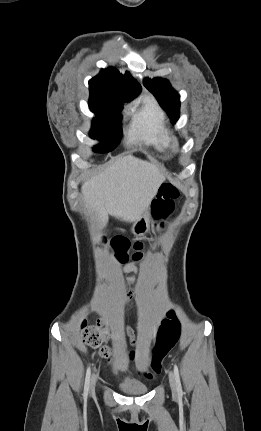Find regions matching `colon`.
<instances>
[{
	"label": "colon",
	"instance_id": "5ec220e1",
	"mask_svg": "<svg viewBox=\"0 0 261 431\" xmlns=\"http://www.w3.org/2000/svg\"><path fill=\"white\" fill-rule=\"evenodd\" d=\"M178 189L171 183H164L158 192V196L153 203L152 213L155 219L167 217L174 208V201L178 198ZM112 245L116 249V257L120 263H126L130 259L139 260L142 257V243L135 242L133 245L124 237L117 236L112 239ZM132 248V254L129 250ZM130 303H132L130 301ZM83 340L89 346L99 350V354L107 358L109 357V348L104 343V335L106 329L103 323L98 320L95 323L83 322L81 325ZM180 336V324L173 313H169L159 327L157 344L154 348L151 367L155 373H158L161 368L162 358L175 346ZM152 373L149 375L147 371L142 373L146 382H152L157 378V375Z\"/></svg>",
	"mask_w": 261,
	"mask_h": 431
}]
</instances>
